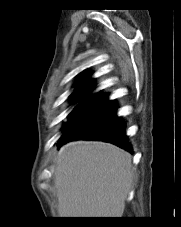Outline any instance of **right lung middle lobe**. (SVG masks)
<instances>
[{"instance_id":"obj_1","label":"right lung middle lobe","mask_w":181,"mask_h":227,"mask_svg":"<svg viewBox=\"0 0 181 227\" xmlns=\"http://www.w3.org/2000/svg\"><path fill=\"white\" fill-rule=\"evenodd\" d=\"M79 103L74 107L71 113L68 115L69 121L67 125H64L63 133L72 125L78 121L96 113L102 107H104L108 100V96L104 94H93L85 98H78L74 102Z\"/></svg>"}]
</instances>
